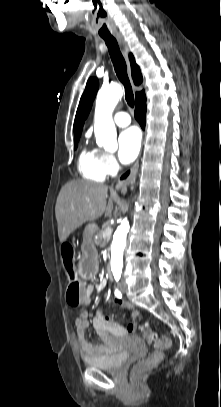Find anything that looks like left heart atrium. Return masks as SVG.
<instances>
[{
  "label": "left heart atrium",
  "mask_w": 221,
  "mask_h": 407,
  "mask_svg": "<svg viewBox=\"0 0 221 407\" xmlns=\"http://www.w3.org/2000/svg\"><path fill=\"white\" fill-rule=\"evenodd\" d=\"M118 156L122 163H131L138 155L141 145L140 132L130 127L121 132L118 139Z\"/></svg>",
  "instance_id": "obj_1"
}]
</instances>
